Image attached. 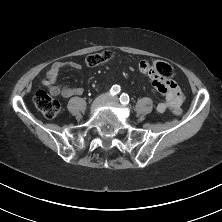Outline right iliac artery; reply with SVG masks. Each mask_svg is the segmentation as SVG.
<instances>
[{
    "mask_svg": "<svg viewBox=\"0 0 222 222\" xmlns=\"http://www.w3.org/2000/svg\"><path fill=\"white\" fill-rule=\"evenodd\" d=\"M120 92V86L119 85H114L111 90H110V94L111 95H116Z\"/></svg>",
    "mask_w": 222,
    "mask_h": 222,
    "instance_id": "right-iliac-artery-1",
    "label": "right iliac artery"
}]
</instances>
